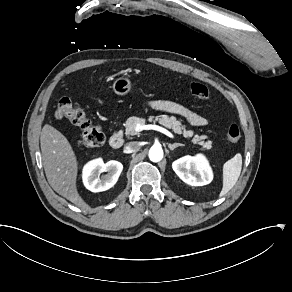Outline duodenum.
<instances>
[{"instance_id": "1", "label": "duodenum", "mask_w": 292, "mask_h": 292, "mask_svg": "<svg viewBox=\"0 0 292 292\" xmlns=\"http://www.w3.org/2000/svg\"><path fill=\"white\" fill-rule=\"evenodd\" d=\"M123 142H124L123 135L121 133L117 132L111 136V138L109 140V145L113 149H119L122 147Z\"/></svg>"}]
</instances>
